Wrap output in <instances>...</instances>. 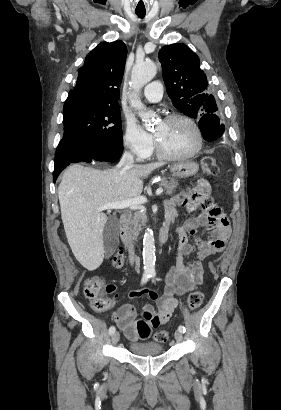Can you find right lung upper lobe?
<instances>
[{"instance_id":"right-lung-upper-lobe-1","label":"right lung upper lobe","mask_w":281,"mask_h":410,"mask_svg":"<svg viewBox=\"0 0 281 410\" xmlns=\"http://www.w3.org/2000/svg\"><path fill=\"white\" fill-rule=\"evenodd\" d=\"M126 54V45L120 40L97 45L78 70L77 84L69 92L64 106L87 104L118 107Z\"/></svg>"}]
</instances>
